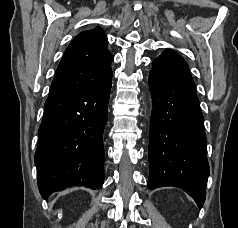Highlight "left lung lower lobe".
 <instances>
[{
    "mask_svg": "<svg viewBox=\"0 0 238 228\" xmlns=\"http://www.w3.org/2000/svg\"><path fill=\"white\" fill-rule=\"evenodd\" d=\"M152 65L148 188H182L201 208L209 165L204 119L195 83L187 63L172 50H166Z\"/></svg>",
    "mask_w": 238,
    "mask_h": 228,
    "instance_id": "left-lung-lower-lobe-1",
    "label": "left lung lower lobe"
}]
</instances>
